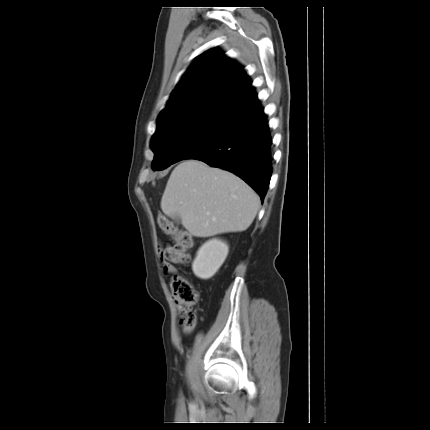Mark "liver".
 Returning a JSON list of instances; mask_svg holds the SVG:
<instances>
[{
	"label": "liver",
	"mask_w": 430,
	"mask_h": 430,
	"mask_svg": "<svg viewBox=\"0 0 430 430\" xmlns=\"http://www.w3.org/2000/svg\"><path fill=\"white\" fill-rule=\"evenodd\" d=\"M259 206L258 195L241 178L196 159L175 167L161 199L164 214L179 216L195 237L245 231Z\"/></svg>",
	"instance_id": "obj_1"
}]
</instances>
